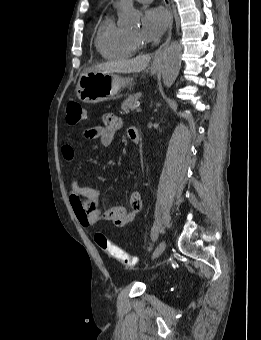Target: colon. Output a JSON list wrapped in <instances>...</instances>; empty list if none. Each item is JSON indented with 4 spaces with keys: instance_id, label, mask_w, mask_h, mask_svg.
<instances>
[{
    "instance_id": "1",
    "label": "colon",
    "mask_w": 261,
    "mask_h": 340,
    "mask_svg": "<svg viewBox=\"0 0 261 340\" xmlns=\"http://www.w3.org/2000/svg\"><path fill=\"white\" fill-rule=\"evenodd\" d=\"M87 116L85 108L78 102H69L66 109V121L69 125H76L83 121ZM94 241L97 246L107 253L111 258L127 267L137 264V258L121 247L113 244L103 233H96Z\"/></svg>"
}]
</instances>
